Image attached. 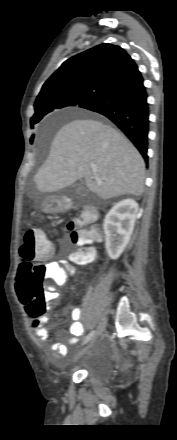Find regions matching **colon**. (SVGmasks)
Instances as JSON below:
<instances>
[{"instance_id":"obj_1","label":"colon","mask_w":177,"mask_h":440,"mask_svg":"<svg viewBox=\"0 0 177 440\" xmlns=\"http://www.w3.org/2000/svg\"><path fill=\"white\" fill-rule=\"evenodd\" d=\"M94 218V212L86 211L68 225L71 230L70 240L79 247L70 255L71 261L75 264L91 263L97 257L94 249L85 246L99 239L101 232L97 228H83ZM51 254V242L40 229H31L25 233L19 250L21 265L16 289L20 301L26 305L27 311L34 317L42 315L45 311L47 291L44 284L47 279H50V269L44 260ZM63 270L68 275L74 269L70 265H65Z\"/></svg>"}]
</instances>
